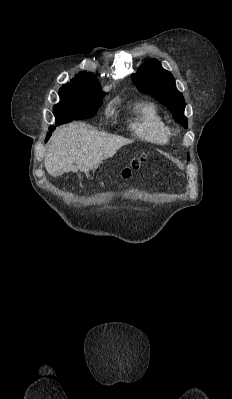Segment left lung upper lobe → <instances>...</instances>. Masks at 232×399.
<instances>
[{
  "label": "left lung upper lobe",
  "mask_w": 232,
  "mask_h": 399,
  "mask_svg": "<svg viewBox=\"0 0 232 399\" xmlns=\"http://www.w3.org/2000/svg\"><path fill=\"white\" fill-rule=\"evenodd\" d=\"M131 78L140 91L151 94L165 105L174 119L187 128L188 120L184 116L186 103L182 93L176 89L173 75L163 69L158 60H148Z\"/></svg>",
  "instance_id": "obj_1"
}]
</instances>
